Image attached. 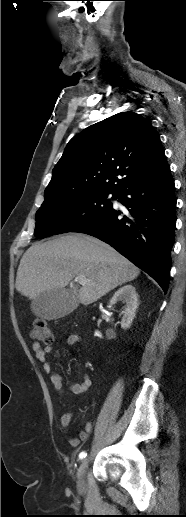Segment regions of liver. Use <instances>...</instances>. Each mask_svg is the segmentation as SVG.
Masks as SVG:
<instances>
[{
	"mask_svg": "<svg viewBox=\"0 0 186 517\" xmlns=\"http://www.w3.org/2000/svg\"><path fill=\"white\" fill-rule=\"evenodd\" d=\"M139 274V268L110 245L84 234H68L28 248L15 286L21 295L34 300L46 291L64 290L73 278L84 277L89 282L73 286L72 292L89 305Z\"/></svg>",
	"mask_w": 186,
	"mask_h": 517,
	"instance_id": "1",
	"label": "liver"
}]
</instances>
